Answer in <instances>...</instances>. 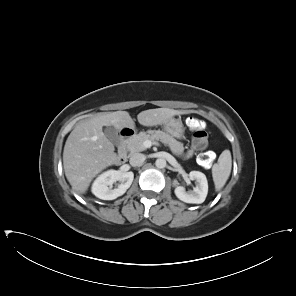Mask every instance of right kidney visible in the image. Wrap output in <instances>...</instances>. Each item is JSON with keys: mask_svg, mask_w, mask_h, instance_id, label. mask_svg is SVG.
<instances>
[{"mask_svg": "<svg viewBox=\"0 0 296 296\" xmlns=\"http://www.w3.org/2000/svg\"><path fill=\"white\" fill-rule=\"evenodd\" d=\"M134 178L133 172H122L120 170H108L101 174L92 185L93 194L102 200H113L122 196L131 186ZM120 181L117 188L113 184Z\"/></svg>", "mask_w": 296, "mask_h": 296, "instance_id": "right-kidney-1", "label": "right kidney"}]
</instances>
